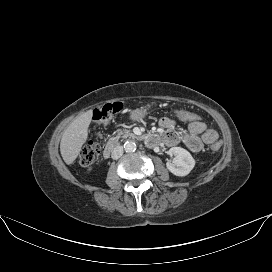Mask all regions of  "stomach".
Masks as SVG:
<instances>
[{"label":"stomach","instance_id":"0dacf381","mask_svg":"<svg viewBox=\"0 0 272 272\" xmlns=\"http://www.w3.org/2000/svg\"><path fill=\"white\" fill-rule=\"evenodd\" d=\"M147 110H148L147 108L136 109L131 112L130 118L132 120H140L147 115Z\"/></svg>","mask_w":272,"mask_h":272}]
</instances>
